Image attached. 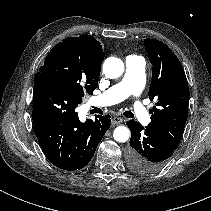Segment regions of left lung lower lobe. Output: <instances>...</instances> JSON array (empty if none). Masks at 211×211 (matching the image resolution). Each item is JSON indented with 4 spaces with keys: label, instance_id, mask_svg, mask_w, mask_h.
Instances as JSON below:
<instances>
[{
    "label": "left lung lower lobe",
    "instance_id": "left-lung-lower-lobe-1",
    "mask_svg": "<svg viewBox=\"0 0 211 211\" xmlns=\"http://www.w3.org/2000/svg\"><path fill=\"white\" fill-rule=\"evenodd\" d=\"M126 124L131 131V147L127 152L130 169L139 174L159 171L177 147L134 120Z\"/></svg>",
    "mask_w": 211,
    "mask_h": 211
}]
</instances>
